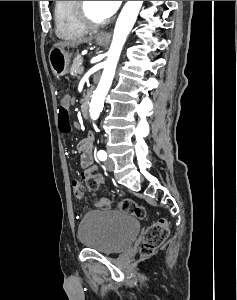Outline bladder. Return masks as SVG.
I'll return each mask as SVG.
<instances>
[{"instance_id": "1", "label": "bladder", "mask_w": 237, "mask_h": 300, "mask_svg": "<svg viewBox=\"0 0 237 300\" xmlns=\"http://www.w3.org/2000/svg\"><path fill=\"white\" fill-rule=\"evenodd\" d=\"M139 230V221L129 214L115 210L92 211L80 221L77 236L86 248L116 254L134 242Z\"/></svg>"}]
</instances>
